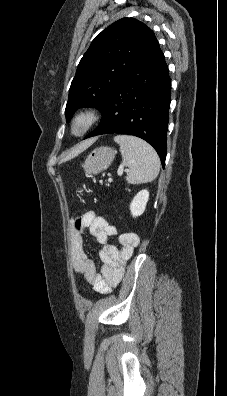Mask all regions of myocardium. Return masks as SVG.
<instances>
[{
	"label": "myocardium",
	"mask_w": 227,
	"mask_h": 396,
	"mask_svg": "<svg viewBox=\"0 0 227 396\" xmlns=\"http://www.w3.org/2000/svg\"><path fill=\"white\" fill-rule=\"evenodd\" d=\"M101 112L96 107H87L77 111L70 120V132L79 137L87 133L99 120Z\"/></svg>",
	"instance_id": "myocardium-1"
}]
</instances>
